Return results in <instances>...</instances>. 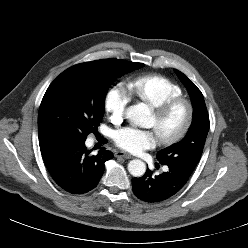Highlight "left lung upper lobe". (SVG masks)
<instances>
[{"mask_svg": "<svg viewBox=\"0 0 248 248\" xmlns=\"http://www.w3.org/2000/svg\"><path fill=\"white\" fill-rule=\"evenodd\" d=\"M175 72L189 91L193 105V121L184 139L159 151L157 159L160 164L174 166L190 176L203 152L210 126L209 115L201 91L182 72L176 69Z\"/></svg>", "mask_w": 248, "mask_h": 248, "instance_id": "1", "label": "left lung upper lobe"}]
</instances>
